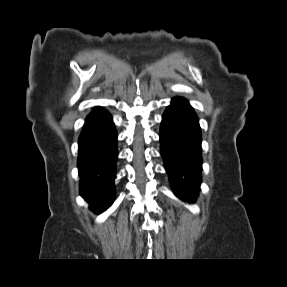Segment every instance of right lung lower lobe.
<instances>
[{
    "label": "right lung lower lobe",
    "instance_id": "1",
    "mask_svg": "<svg viewBox=\"0 0 287 287\" xmlns=\"http://www.w3.org/2000/svg\"><path fill=\"white\" fill-rule=\"evenodd\" d=\"M80 194L96 213L114 201L117 131L112 116L96 107L87 116L78 142Z\"/></svg>",
    "mask_w": 287,
    "mask_h": 287
}]
</instances>
